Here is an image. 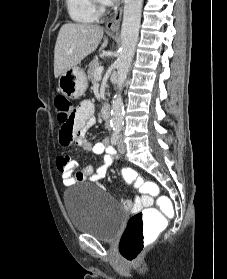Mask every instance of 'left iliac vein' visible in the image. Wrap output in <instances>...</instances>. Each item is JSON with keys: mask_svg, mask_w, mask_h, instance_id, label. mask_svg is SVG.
Segmentation results:
<instances>
[{"mask_svg": "<svg viewBox=\"0 0 227 279\" xmlns=\"http://www.w3.org/2000/svg\"><path fill=\"white\" fill-rule=\"evenodd\" d=\"M117 148H118L119 153H121V154H124L126 152V145L123 141L122 136L119 137Z\"/></svg>", "mask_w": 227, "mask_h": 279, "instance_id": "obj_1", "label": "left iliac vein"}]
</instances>
